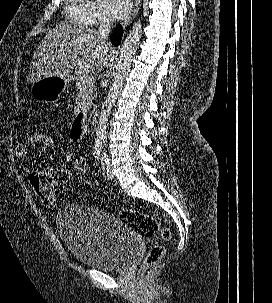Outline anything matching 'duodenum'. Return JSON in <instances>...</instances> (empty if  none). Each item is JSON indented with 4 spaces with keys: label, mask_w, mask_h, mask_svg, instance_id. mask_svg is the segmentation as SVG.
Masks as SVG:
<instances>
[{
    "label": "duodenum",
    "mask_w": 272,
    "mask_h": 303,
    "mask_svg": "<svg viewBox=\"0 0 272 303\" xmlns=\"http://www.w3.org/2000/svg\"><path fill=\"white\" fill-rule=\"evenodd\" d=\"M95 108H96L95 103H92V105L88 110L85 109L76 110L73 127L77 138H82V136L84 135L87 127L88 116L89 114L94 112Z\"/></svg>",
    "instance_id": "410a0bca"
}]
</instances>
